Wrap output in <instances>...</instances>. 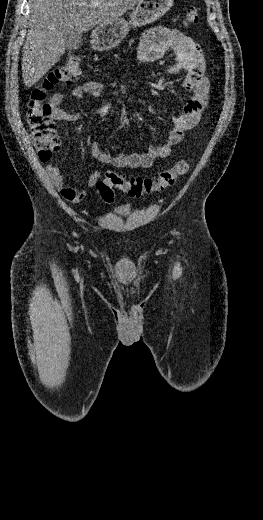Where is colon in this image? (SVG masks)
<instances>
[{
    "label": "colon",
    "instance_id": "5ec220e1",
    "mask_svg": "<svg viewBox=\"0 0 263 520\" xmlns=\"http://www.w3.org/2000/svg\"><path fill=\"white\" fill-rule=\"evenodd\" d=\"M199 11L189 7L184 14L185 25L199 22ZM80 61L77 56L69 57L61 66L49 73L41 86L35 88L27 109V123L39 159L46 162L60 148L52 108L44 102L46 93L56 85H68L80 76ZM192 165L190 159H181L173 166L159 172L155 177L126 176L109 171L96 183V188L105 203L114 201V191L118 190L133 198L159 193L172 187L176 181L186 175Z\"/></svg>",
    "mask_w": 263,
    "mask_h": 520
}]
</instances>
